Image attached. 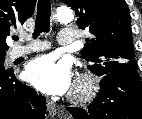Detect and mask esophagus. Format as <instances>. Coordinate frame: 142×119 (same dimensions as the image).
I'll return each instance as SVG.
<instances>
[{"mask_svg":"<svg viewBox=\"0 0 142 119\" xmlns=\"http://www.w3.org/2000/svg\"><path fill=\"white\" fill-rule=\"evenodd\" d=\"M47 111L51 116H55L57 114L56 105L51 100H47Z\"/></svg>","mask_w":142,"mask_h":119,"instance_id":"esophagus-1","label":"esophagus"}]
</instances>
